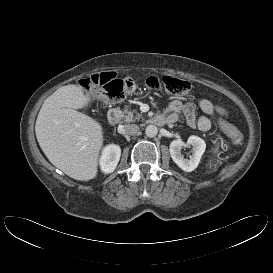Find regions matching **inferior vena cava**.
<instances>
[{
	"label": "inferior vena cava",
	"instance_id": "inferior-vena-cava-1",
	"mask_svg": "<svg viewBox=\"0 0 273 273\" xmlns=\"http://www.w3.org/2000/svg\"><path fill=\"white\" fill-rule=\"evenodd\" d=\"M125 133L129 135H135L139 132L140 128L136 124H128L124 127Z\"/></svg>",
	"mask_w": 273,
	"mask_h": 273
}]
</instances>
